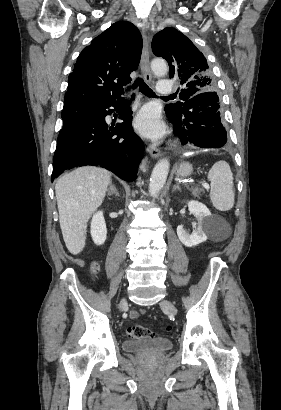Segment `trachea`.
Listing matches in <instances>:
<instances>
[{
	"label": "trachea",
	"instance_id": "trachea-1",
	"mask_svg": "<svg viewBox=\"0 0 281 410\" xmlns=\"http://www.w3.org/2000/svg\"><path fill=\"white\" fill-rule=\"evenodd\" d=\"M140 88L141 92L148 96V97H156V94L152 91V89L149 88V86L144 82L142 78H137L135 80V83L133 84L132 88L138 87ZM173 96L170 95L167 98H172Z\"/></svg>",
	"mask_w": 281,
	"mask_h": 410
}]
</instances>
